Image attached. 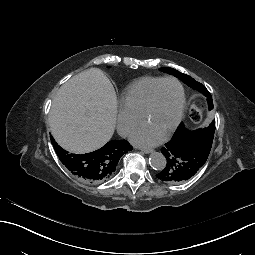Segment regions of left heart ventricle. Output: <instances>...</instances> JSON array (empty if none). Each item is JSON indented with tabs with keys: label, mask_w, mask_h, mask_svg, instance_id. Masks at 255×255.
<instances>
[{
	"label": "left heart ventricle",
	"mask_w": 255,
	"mask_h": 255,
	"mask_svg": "<svg viewBox=\"0 0 255 255\" xmlns=\"http://www.w3.org/2000/svg\"><path fill=\"white\" fill-rule=\"evenodd\" d=\"M180 102L179 86L173 82L164 83L158 89L154 105L142 125L164 137L178 116Z\"/></svg>",
	"instance_id": "1"
}]
</instances>
